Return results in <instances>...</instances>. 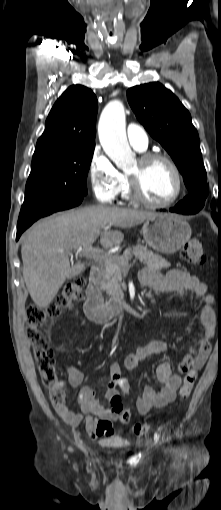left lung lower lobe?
Here are the masks:
<instances>
[{
	"label": "left lung lower lobe",
	"mask_w": 221,
	"mask_h": 510,
	"mask_svg": "<svg viewBox=\"0 0 221 510\" xmlns=\"http://www.w3.org/2000/svg\"><path fill=\"white\" fill-rule=\"evenodd\" d=\"M200 210L197 206L194 205L193 202H182L178 203L174 208H171L169 211L177 212L182 214H195ZM212 218L215 223L221 227V212L212 213Z\"/></svg>",
	"instance_id": "left-lung-lower-lobe-1"
}]
</instances>
